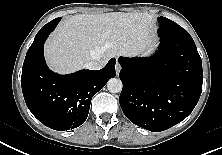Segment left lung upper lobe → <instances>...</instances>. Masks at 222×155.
<instances>
[{
	"label": "left lung upper lobe",
	"instance_id": "left-lung-upper-lobe-1",
	"mask_svg": "<svg viewBox=\"0 0 222 155\" xmlns=\"http://www.w3.org/2000/svg\"><path fill=\"white\" fill-rule=\"evenodd\" d=\"M160 27L158 33L160 37H191L190 34L175 22L159 17Z\"/></svg>",
	"mask_w": 222,
	"mask_h": 155
}]
</instances>
